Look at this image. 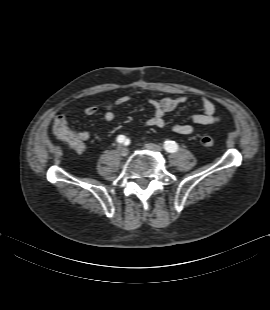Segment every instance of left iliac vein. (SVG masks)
Here are the masks:
<instances>
[{"mask_svg": "<svg viewBox=\"0 0 270 310\" xmlns=\"http://www.w3.org/2000/svg\"><path fill=\"white\" fill-rule=\"evenodd\" d=\"M145 148H147L148 150H151V151H156V152L162 151V148L159 145L154 144V143H146Z\"/></svg>", "mask_w": 270, "mask_h": 310, "instance_id": "left-iliac-vein-1", "label": "left iliac vein"}]
</instances>
